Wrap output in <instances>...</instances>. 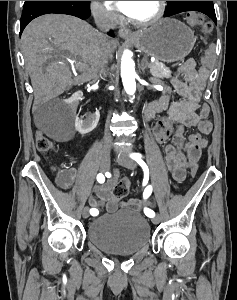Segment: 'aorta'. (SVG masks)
<instances>
[{
  "label": "aorta",
  "mask_w": 237,
  "mask_h": 300,
  "mask_svg": "<svg viewBox=\"0 0 237 300\" xmlns=\"http://www.w3.org/2000/svg\"><path fill=\"white\" fill-rule=\"evenodd\" d=\"M129 51H124L121 59V77L123 87L128 95H134L136 91L135 65L128 55Z\"/></svg>",
  "instance_id": "1"
}]
</instances>
